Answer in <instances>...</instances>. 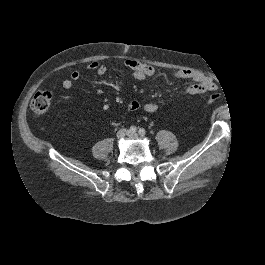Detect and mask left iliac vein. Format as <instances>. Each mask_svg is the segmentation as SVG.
I'll return each mask as SVG.
<instances>
[{
	"instance_id": "1",
	"label": "left iliac vein",
	"mask_w": 265,
	"mask_h": 265,
	"mask_svg": "<svg viewBox=\"0 0 265 265\" xmlns=\"http://www.w3.org/2000/svg\"><path fill=\"white\" fill-rule=\"evenodd\" d=\"M128 136L131 138H138L139 137V135L137 133H129Z\"/></svg>"
}]
</instances>
